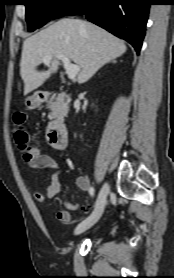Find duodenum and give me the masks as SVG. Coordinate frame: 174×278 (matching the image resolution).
<instances>
[{"mask_svg": "<svg viewBox=\"0 0 174 278\" xmlns=\"http://www.w3.org/2000/svg\"><path fill=\"white\" fill-rule=\"evenodd\" d=\"M49 92H41L38 96L40 101H44L49 97ZM47 138L49 143L58 149H63L67 144V128L65 124L55 121L48 127Z\"/></svg>", "mask_w": 174, "mask_h": 278, "instance_id": "duodenum-1", "label": "duodenum"}]
</instances>
